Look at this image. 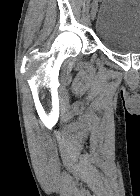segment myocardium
Returning a JSON list of instances; mask_svg holds the SVG:
<instances>
[{"label":"myocardium","mask_w":140,"mask_h":196,"mask_svg":"<svg viewBox=\"0 0 140 196\" xmlns=\"http://www.w3.org/2000/svg\"><path fill=\"white\" fill-rule=\"evenodd\" d=\"M92 192H124V191H92Z\"/></svg>","instance_id":"f54148a6"}]
</instances>
